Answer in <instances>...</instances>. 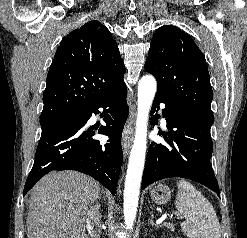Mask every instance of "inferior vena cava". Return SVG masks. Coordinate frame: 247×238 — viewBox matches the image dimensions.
<instances>
[{"label": "inferior vena cava", "instance_id": "obj_1", "mask_svg": "<svg viewBox=\"0 0 247 238\" xmlns=\"http://www.w3.org/2000/svg\"><path fill=\"white\" fill-rule=\"evenodd\" d=\"M100 206L98 204L92 206L86 218L87 229L94 232L95 236H100L101 234V214L99 213Z\"/></svg>", "mask_w": 247, "mask_h": 238}]
</instances>
